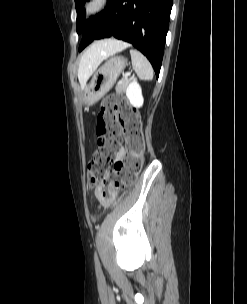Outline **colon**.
I'll return each instance as SVG.
<instances>
[{"label":"colon","mask_w":247,"mask_h":304,"mask_svg":"<svg viewBox=\"0 0 247 304\" xmlns=\"http://www.w3.org/2000/svg\"><path fill=\"white\" fill-rule=\"evenodd\" d=\"M96 132L98 148L88 166V184L97 185L96 196L103 204H113L120 190L133 185L142 168L145 142L142 122L136 109L120 94H110L102 102ZM125 152L114 163L121 137Z\"/></svg>","instance_id":"obj_1"}]
</instances>
